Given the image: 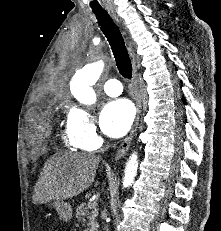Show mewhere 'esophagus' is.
I'll return each mask as SVG.
<instances>
[{"mask_svg":"<svg viewBox=\"0 0 221 231\" xmlns=\"http://www.w3.org/2000/svg\"><path fill=\"white\" fill-rule=\"evenodd\" d=\"M113 16L116 19V16L114 13H113ZM130 54L132 57V65H133V86H134V97H135L136 106H137V114H136L135 122L133 124L130 134L124 139L123 143L121 144V147L119 148L118 152L116 153L114 157L116 161L122 158L127 153L129 146L131 144V141L137 130L141 111H142V98H141V94L139 90V83H138L137 60L131 48H130Z\"/></svg>","mask_w":221,"mask_h":231,"instance_id":"1","label":"esophagus"}]
</instances>
